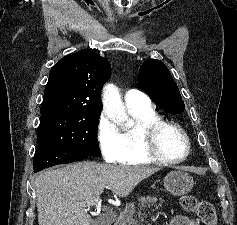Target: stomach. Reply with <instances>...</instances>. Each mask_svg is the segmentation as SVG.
<instances>
[{
	"instance_id": "1",
	"label": "stomach",
	"mask_w": 237,
	"mask_h": 225,
	"mask_svg": "<svg viewBox=\"0 0 237 225\" xmlns=\"http://www.w3.org/2000/svg\"><path fill=\"white\" fill-rule=\"evenodd\" d=\"M193 178L186 172L174 170L169 172L164 178L165 189L174 196H181L189 193L193 188ZM134 213V205L128 203L124 210L126 218H131Z\"/></svg>"
}]
</instances>
